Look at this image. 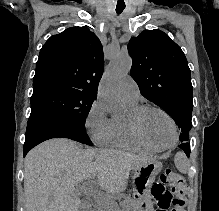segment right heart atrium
Masks as SVG:
<instances>
[{"label": "right heart atrium", "mask_w": 219, "mask_h": 211, "mask_svg": "<svg viewBox=\"0 0 219 211\" xmlns=\"http://www.w3.org/2000/svg\"><path fill=\"white\" fill-rule=\"evenodd\" d=\"M85 127L96 145L106 146L113 134V118L99 99L94 100L85 117Z\"/></svg>", "instance_id": "obj_1"}]
</instances>
